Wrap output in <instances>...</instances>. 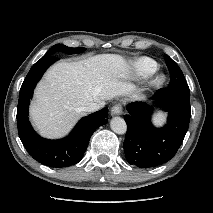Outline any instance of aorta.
Masks as SVG:
<instances>
[{
  "label": "aorta",
  "instance_id": "762f6f07",
  "mask_svg": "<svg viewBox=\"0 0 213 213\" xmlns=\"http://www.w3.org/2000/svg\"><path fill=\"white\" fill-rule=\"evenodd\" d=\"M111 129L117 134H124L127 131V124L121 117H114L110 122Z\"/></svg>",
  "mask_w": 213,
  "mask_h": 213
}]
</instances>
